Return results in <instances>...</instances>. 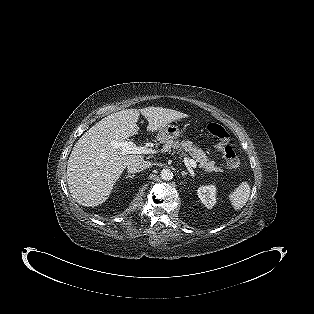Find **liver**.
<instances>
[{"instance_id": "1", "label": "liver", "mask_w": 314, "mask_h": 314, "mask_svg": "<svg viewBox=\"0 0 314 314\" xmlns=\"http://www.w3.org/2000/svg\"><path fill=\"white\" fill-rule=\"evenodd\" d=\"M140 114L148 121L151 132L188 117L172 109L146 107L121 110L92 126L74 145L67 165L69 191L77 203L86 207L104 203L126 166L144 159L138 154L123 155L112 145L113 141L124 142L138 133Z\"/></svg>"}]
</instances>
